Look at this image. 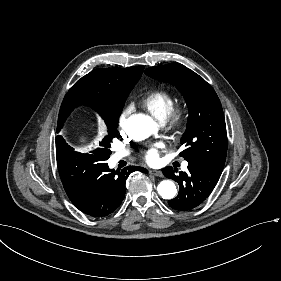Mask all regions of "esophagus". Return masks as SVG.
Here are the masks:
<instances>
[{
  "label": "esophagus",
  "instance_id": "esophagus-1",
  "mask_svg": "<svg viewBox=\"0 0 281 281\" xmlns=\"http://www.w3.org/2000/svg\"><path fill=\"white\" fill-rule=\"evenodd\" d=\"M149 173L152 174V175L158 176V177L164 176L162 171H160V170H150Z\"/></svg>",
  "mask_w": 281,
  "mask_h": 281
}]
</instances>
